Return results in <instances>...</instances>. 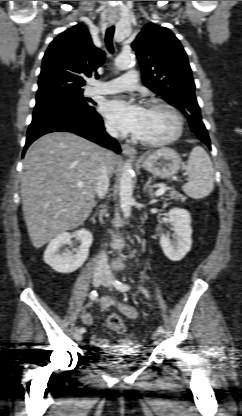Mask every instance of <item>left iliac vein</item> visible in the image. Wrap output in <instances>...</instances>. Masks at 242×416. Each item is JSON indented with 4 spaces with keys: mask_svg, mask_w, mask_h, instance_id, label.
Listing matches in <instances>:
<instances>
[{
    "mask_svg": "<svg viewBox=\"0 0 242 416\" xmlns=\"http://www.w3.org/2000/svg\"><path fill=\"white\" fill-rule=\"evenodd\" d=\"M101 283H102L103 286L112 287V277L107 273L105 275L104 280ZM152 336H153V339L156 340V343H160L161 339H160V333L159 332H154Z\"/></svg>",
    "mask_w": 242,
    "mask_h": 416,
    "instance_id": "obj_1",
    "label": "left iliac vein"
}]
</instances>
